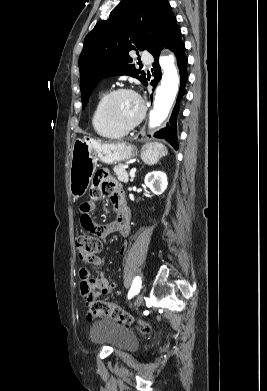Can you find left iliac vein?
I'll use <instances>...</instances> for the list:
<instances>
[{"mask_svg": "<svg viewBox=\"0 0 267 391\" xmlns=\"http://www.w3.org/2000/svg\"><path fill=\"white\" fill-rule=\"evenodd\" d=\"M143 299H144L143 293H140V294L136 297L133 306H134L135 308L139 307V306L142 304Z\"/></svg>", "mask_w": 267, "mask_h": 391, "instance_id": "4c4485c4", "label": "left iliac vein"}]
</instances>
